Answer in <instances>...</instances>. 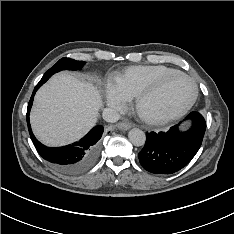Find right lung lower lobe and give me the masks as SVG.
<instances>
[{
    "label": "right lung lower lobe",
    "mask_w": 234,
    "mask_h": 234,
    "mask_svg": "<svg viewBox=\"0 0 234 234\" xmlns=\"http://www.w3.org/2000/svg\"><path fill=\"white\" fill-rule=\"evenodd\" d=\"M45 82L40 80L36 85L27 108V123L31 140L40 156L52 163L59 171L66 174H78L88 169L96 160L99 149V140L103 133L102 126L94 127L79 142L63 147H47L41 144L33 135L30 123L29 112L33 103L36 91Z\"/></svg>",
    "instance_id": "98d812e1"
}]
</instances>
